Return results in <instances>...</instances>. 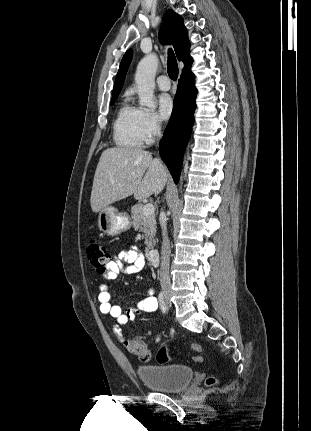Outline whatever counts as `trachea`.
<instances>
[{
	"label": "trachea",
	"mask_w": 311,
	"mask_h": 431,
	"mask_svg": "<svg viewBox=\"0 0 311 431\" xmlns=\"http://www.w3.org/2000/svg\"><path fill=\"white\" fill-rule=\"evenodd\" d=\"M167 70L171 80H177L178 64L174 52L171 49L168 50Z\"/></svg>",
	"instance_id": "obj_1"
}]
</instances>
